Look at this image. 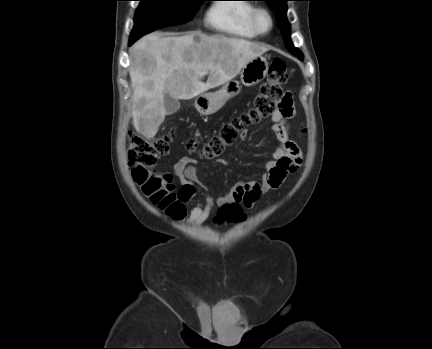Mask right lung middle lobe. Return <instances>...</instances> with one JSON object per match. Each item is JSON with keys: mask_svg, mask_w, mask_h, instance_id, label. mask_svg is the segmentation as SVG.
Returning a JSON list of instances; mask_svg holds the SVG:
<instances>
[{"mask_svg": "<svg viewBox=\"0 0 432 349\" xmlns=\"http://www.w3.org/2000/svg\"><path fill=\"white\" fill-rule=\"evenodd\" d=\"M129 45L157 28L183 24L192 19L205 0H139Z\"/></svg>", "mask_w": 432, "mask_h": 349, "instance_id": "obj_1", "label": "right lung middle lobe"}]
</instances>
